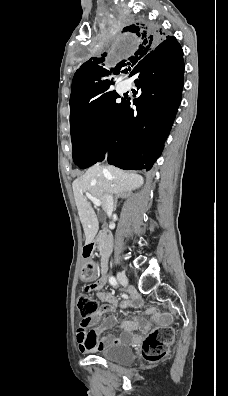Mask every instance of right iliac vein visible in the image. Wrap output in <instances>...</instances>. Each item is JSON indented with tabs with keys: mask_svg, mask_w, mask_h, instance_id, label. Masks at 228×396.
Instances as JSON below:
<instances>
[{
	"mask_svg": "<svg viewBox=\"0 0 228 396\" xmlns=\"http://www.w3.org/2000/svg\"><path fill=\"white\" fill-rule=\"evenodd\" d=\"M117 279L121 285L127 286L128 285V278L126 277L124 272H117Z\"/></svg>",
	"mask_w": 228,
	"mask_h": 396,
	"instance_id": "obj_1",
	"label": "right iliac vein"
}]
</instances>
